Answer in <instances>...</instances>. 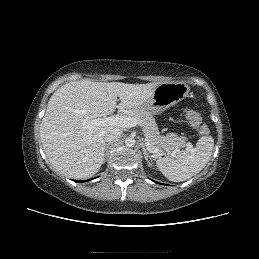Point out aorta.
Here are the masks:
<instances>
[{"instance_id":"762f6f07","label":"aorta","mask_w":259,"mask_h":259,"mask_svg":"<svg viewBox=\"0 0 259 259\" xmlns=\"http://www.w3.org/2000/svg\"><path fill=\"white\" fill-rule=\"evenodd\" d=\"M135 139L132 138V137H127L125 139V145L128 146V147H133L135 145Z\"/></svg>"}]
</instances>
